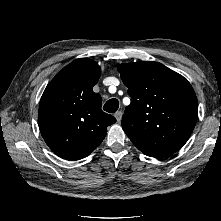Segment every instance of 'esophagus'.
I'll return each instance as SVG.
<instances>
[{
    "label": "esophagus",
    "instance_id": "34e87169",
    "mask_svg": "<svg viewBox=\"0 0 221 221\" xmlns=\"http://www.w3.org/2000/svg\"><path fill=\"white\" fill-rule=\"evenodd\" d=\"M117 122L119 123L121 121V118H122V112L121 111H117L115 114H114Z\"/></svg>",
    "mask_w": 221,
    "mask_h": 221
}]
</instances>
